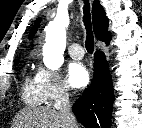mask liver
<instances>
[{
    "label": "liver",
    "instance_id": "obj_1",
    "mask_svg": "<svg viewBox=\"0 0 142 128\" xmlns=\"http://www.w3.org/2000/svg\"><path fill=\"white\" fill-rule=\"evenodd\" d=\"M78 126V125H77ZM12 128H69L60 112L49 107H26L20 110Z\"/></svg>",
    "mask_w": 142,
    "mask_h": 128
}]
</instances>
